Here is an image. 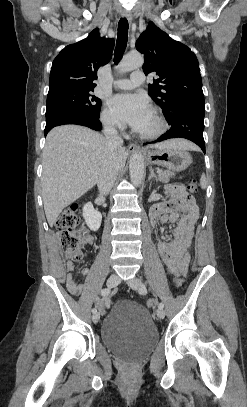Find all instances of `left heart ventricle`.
<instances>
[{
	"label": "left heart ventricle",
	"instance_id": "b2bd125f",
	"mask_svg": "<svg viewBox=\"0 0 247 407\" xmlns=\"http://www.w3.org/2000/svg\"><path fill=\"white\" fill-rule=\"evenodd\" d=\"M158 128V123L154 116L149 112L148 116L142 123V125L137 129V131L142 133H151Z\"/></svg>",
	"mask_w": 247,
	"mask_h": 407
}]
</instances>
